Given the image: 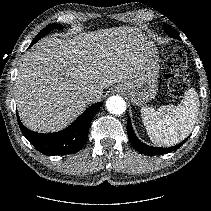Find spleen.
Returning <instances> with one entry per match:
<instances>
[{
	"instance_id": "3e777b00",
	"label": "spleen",
	"mask_w": 211,
	"mask_h": 211,
	"mask_svg": "<svg viewBox=\"0 0 211 211\" xmlns=\"http://www.w3.org/2000/svg\"><path fill=\"white\" fill-rule=\"evenodd\" d=\"M199 113L198 94L194 88L186 91L180 104L158 110L142 107L141 117L152 142L159 146L180 143L192 132Z\"/></svg>"
}]
</instances>
